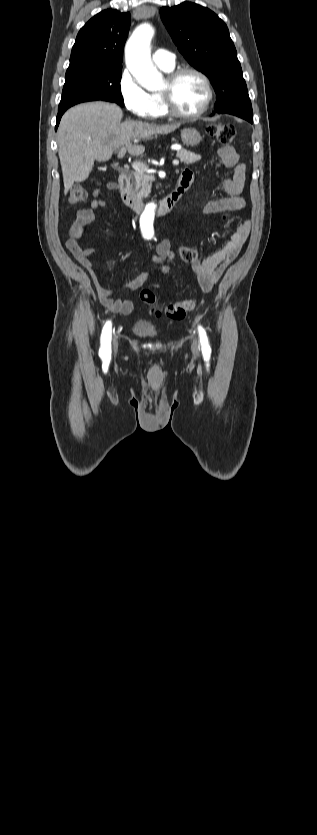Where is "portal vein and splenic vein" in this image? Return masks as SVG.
Segmentation results:
<instances>
[{"instance_id": "portal-vein-and-splenic-vein-1", "label": "portal vein and splenic vein", "mask_w": 317, "mask_h": 835, "mask_svg": "<svg viewBox=\"0 0 317 835\" xmlns=\"http://www.w3.org/2000/svg\"><path fill=\"white\" fill-rule=\"evenodd\" d=\"M177 148H178L177 146H173V147H172V149H177ZM125 153H126V148L122 147V148L119 150V152H118V158H122V157L125 155ZM173 165H174V166H178V165H179V161H178V160H174V161H173ZM132 168H133L134 170H136V171H143V172H147V171H148V166H147L146 164H144V163H141V162H134V163L132 164Z\"/></svg>"}]
</instances>
